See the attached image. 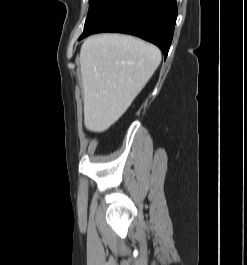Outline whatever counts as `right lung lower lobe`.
<instances>
[{
	"mask_svg": "<svg viewBox=\"0 0 247 265\" xmlns=\"http://www.w3.org/2000/svg\"><path fill=\"white\" fill-rule=\"evenodd\" d=\"M176 18V0H101L88 14L79 40L99 32L132 34L156 44L166 58Z\"/></svg>",
	"mask_w": 247,
	"mask_h": 265,
	"instance_id": "right-lung-lower-lobe-1",
	"label": "right lung lower lobe"
}]
</instances>
